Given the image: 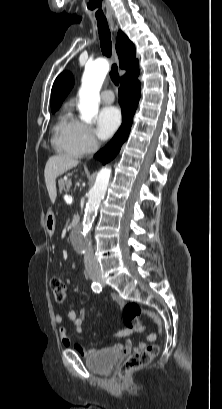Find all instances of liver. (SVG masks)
Masks as SVG:
<instances>
[{
    "label": "liver",
    "mask_w": 222,
    "mask_h": 409,
    "mask_svg": "<svg viewBox=\"0 0 222 409\" xmlns=\"http://www.w3.org/2000/svg\"><path fill=\"white\" fill-rule=\"evenodd\" d=\"M78 164L79 161L77 159L65 155H54L48 159L45 165L44 177L47 191L52 204L55 203L57 197L56 190L57 177L66 173L68 170L76 167Z\"/></svg>",
    "instance_id": "1"
}]
</instances>
